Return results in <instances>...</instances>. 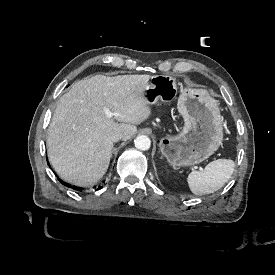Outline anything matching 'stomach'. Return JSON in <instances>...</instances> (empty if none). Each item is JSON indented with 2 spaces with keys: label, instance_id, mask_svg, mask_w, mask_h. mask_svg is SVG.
Masks as SVG:
<instances>
[{
  "label": "stomach",
  "instance_id": "1",
  "mask_svg": "<svg viewBox=\"0 0 275 275\" xmlns=\"http://www.w3.org/2000/svg\"><path fill=\"white\" fill-rule=\"evenodd\" d=\"M177 94L176 80L168 75L152 76L143 95L149 104L171 102ZM178 110L184 125L177 135L164 136L159 150L174 168L196 166L220 148L223 138L222 115L218 102L206 90L183 89Z\"/></svg>",
  "mask_w": 275,
  "mask_h": 275
}]
</instances>
